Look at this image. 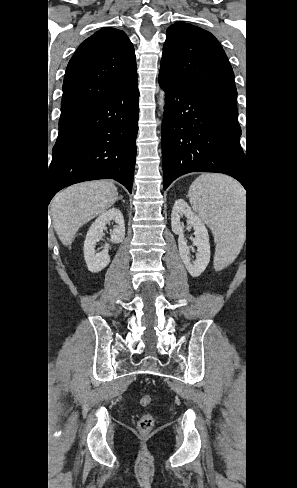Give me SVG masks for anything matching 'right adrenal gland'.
<instances>
[{"instance_id": "1", "label": "right adrenal gland", "mask_w": 297, "mask_h": 488, "mask_svg": "<svg viewBox=\"0 0 297 488\" xmlns=\"http://www.w3.org/2000/svg\"><path fill=\"white\" fill-rule=\"evenodd\" d=\"M118 199H119V200H122L123 202H125V200L123 199V197H122V196H119V198H118Z\"/></svg>"}]
</instances>
